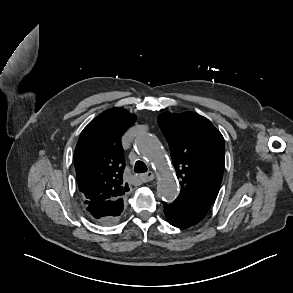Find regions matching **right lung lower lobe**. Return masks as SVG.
<instances>
[{
    "label": "right lung lower lobe",
    "mask_w": 293,
    "mask_h": 293,
    "mask_svg": "<svg viewBox=\"0 0 293 293\" xmlns=\"http://www.w3.org/2000/svg\"><path fill=\"white\" fill-rule=\"evenodd\" d=\"M89 216L101 224L116 222L124 208L123 199L90 202L86 206Z\"/></svg>",
    "instance_id": "98d812e1"
}]
</instances>
